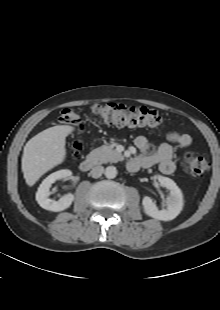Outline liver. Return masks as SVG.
<instances>
[{
  "instance_id": "6515ba94",
  "label": "liver",
  "mask_w": 220,
  "mask_h": 310,
  "mask_svg": "<svg viewBox=\"0 0 220 310\" xmlns=\"http://www.w3.org/2000/svg\"><path fill=\"white\" fill-rule=\"evenodd\" d=\"M73 131L74 127L69 125L50 127L26 143L22 172L28 186H33L42 175L65 160V139Z\"/></svg>"
}]
</instances>
